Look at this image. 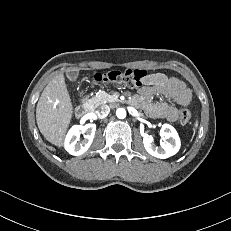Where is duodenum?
Masks as SVG:
<instances>
[{"mask_svg":"<svg viewBox=\"0 0 231 231\" xmlns=\"http://www.w3.org/2000/svg\"><path fill=\"white\" fill-rule=\"evenodd\" d=\"M91 110H92V106L90 104L83 103L79 105L78 107H76L75 114L77 117H82L86 115L87 113H89Z\"/></svg>","mask_w":231,"mask_h":231,"instance_id":"410a0bca","label":"duodenum"}]
</instances>
